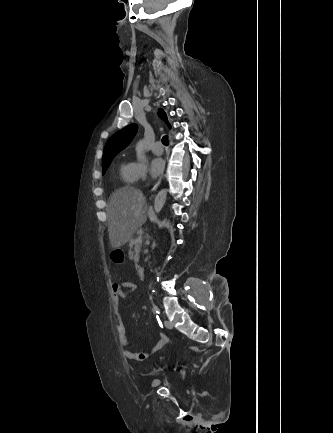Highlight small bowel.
I'll return each instance as SVG.
<instances>
[{
	"label": "small bowel",
	"mask_w": 333,
	"mask_h": 433,
	"mask_svg": "<svg viewBox=\"0 0 333 433\" xmlns=\"http://www.w3.org/2000/svg\"><path fill=\"white\" fill-rule=\"evenodd\" d=\"M137 288V284L133 282H114L112 285V290L114 294V308L115 314L118 317V332H119V342L123 347L129 345V336L126 326L122 319V311L120 309V300L126 298L131 291ZM167 342V337L163 333H159L156 342L146 351L134 352L129 349L124 350V356L133 361H143L149 359L156 351L161 349Z\"/></svg>",
	"instance_id": "obj_1"
}]
</instances>
